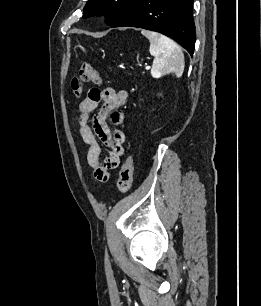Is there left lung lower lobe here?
I'll return each instance as SVG.
<instances>
[{
  "label": "left lung lower lobe",
  "instance_id": "0a47b994",
  "mask_svg": "<svg viewBox=\"0 0 261 306\" xmlns=\"http://www.w3.org/2000/svg\"><path fill=\"white\" fill-rule=\"evenodd\" d=\"M193 0H134L111 27H138L162 33L183 46L192 56L195 46Z\"/></svg>",
  "mask_w": 261,
  "mask_h": 306
}]
</instances>
